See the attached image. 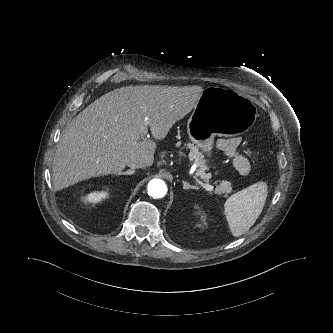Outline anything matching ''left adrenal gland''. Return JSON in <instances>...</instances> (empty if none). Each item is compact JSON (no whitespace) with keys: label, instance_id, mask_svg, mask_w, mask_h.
Instances as JSON below:
<instances>
[{"label":"left adrenal gland","instance_id":"a2214340","mask_svg":"<svg viewBox=\"0 0 333 333\" xmlns=\"http://www.w3.org/2000/svg\"><path fill=\"white\" fill-rule=\"evenodd\" d=\"M182 183H183V189H186V190H188V189H198V187L192 186L186 181H182Z\"/></svg>","mask_w":333,"mask_h":333}]
</instances>
